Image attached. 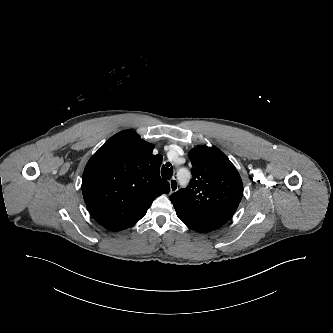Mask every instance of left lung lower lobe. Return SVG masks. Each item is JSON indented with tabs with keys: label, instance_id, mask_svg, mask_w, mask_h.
Returning <instances> with one entry per match:
<instances>
[{
	"label": "left lung lower lobe",
	"instance_id": "1",
	"mask_svg": "<svg viewBox=\"0 0 333 333\" xmlns=\"http://www.w3.org/2000/svg\"><path fill=\"white\" fill-rule=\"evenodd\" d=\"M173 205L179 219L198 232L218 229L232 217L237 209L235 203L192 206L175 202Z\"/></svg>",
	"mask_w": 333,
	"mask_h": 333
}]
</instances>
